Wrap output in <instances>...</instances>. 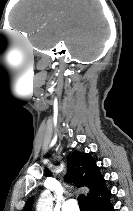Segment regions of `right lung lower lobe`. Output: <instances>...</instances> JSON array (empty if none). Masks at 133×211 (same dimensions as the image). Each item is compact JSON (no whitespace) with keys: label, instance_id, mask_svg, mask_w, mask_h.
<instances>
[{"label":"right lung lower lobe","instance_id":"1","mask_svg":"<svg viewBox=\"0 0 133 211\" xmlns=\"http://www.w3.org/2000/svg\"><path fill=\"white\" fill-rule=\"evenodd\" d=\"M110 196L105 201L89 205L90 211H114Z\"/></svg>","mask_w":133,"mask_h":211}]
</instances>
